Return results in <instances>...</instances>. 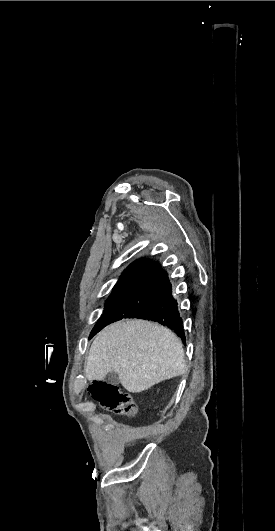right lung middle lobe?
I'll return each instance as SVG.
<instances>
[{
  "mask_svg": "<svg viewBox=\"0 0 275 531\" xmlns=\"http://www.w3.org/2000/svg\"><path fill=\"white\" fill-rule=\"evenodd\" d=\"M142 273L143 271L141 270L124 272V274L119 278L118 282L113 288V292L106 301L107 305L105 306L103 314L99 318L98 322L96 323L95 327L93 328L90 334V338L96 334L98 328L100 327L105 315L110 310V308L125 294V292L129 288H131L139 280Z\"/></svg>",
  "mask_w": 275,
  "mask_h": 531,
  "instance_id": "dd1d6c3e",
  "label": "right lung middle lobe"
}]
</instances>
